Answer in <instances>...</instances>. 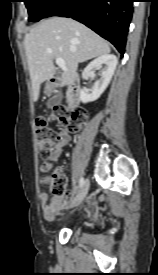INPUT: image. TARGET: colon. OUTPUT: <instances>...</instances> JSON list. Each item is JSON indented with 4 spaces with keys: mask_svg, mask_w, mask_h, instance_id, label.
<instances>
[{
    "mask_svg": "<svg viewBox=\"0 0 158 275\" xmlns=\"http://www.w3.org/2000/svg\"><path fill=\"white\" fill-rule=\"evenodd\" d=\"M87 118L85 110L79 109L69 111L65 106L58 105L52 110L49 117L40 116L35 120L36 139L39 151L42 155L50 153L58 139V133L53 129L51 122L55 120L59 125L76 132L84 124ZM51 165L47 166L48 171ZM48 182L51 187V192L55 199L62 198L65 193L67 177L61 170L54 171L49 177Z\"/></svg>",
    "mask_w": 158,
    "mask_h": 275,
    "instance_id": "colon-1",
    "label": "colon"
}]
</instances>
